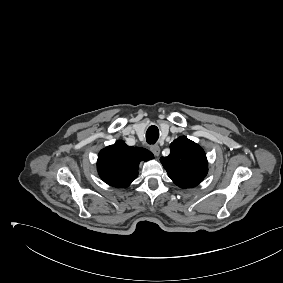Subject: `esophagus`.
Instances as JSON below:
<instances>
[{
  "label": "esophagus",
  "instance_id": "1",
  "mask_svg": "<svg viewBox=\"0 0 283 283\" xmlns=\"http://www.w3.org/2000/svg\"><path fill=\"white\" fill-rule=\"evenodd\" d=\"M150 150H151V152H152L156 157L159 156V154H160V148H159L158 145H153V146H151V147H150Z\"/></svg>",
  "mask_w": 283,
  "mask_h": 283
}]
</instances>
